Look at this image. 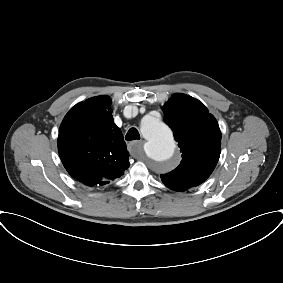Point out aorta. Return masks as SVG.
Returning <instances> with one entry per match:
<instances>
[{
	"mask_svg": "<svg viewBox=\"0 0 283 283\" xmlns=\"http://www.w3.org/2000/svg\"><path fill=\"white\" fill-rule=\"evenodd\" d=\"M142 134L145 138L144 152L160 170L169 168V161L175 150V141L168 126L159 120L142 124Z\"/></svg>",
	"mask_w": 283,
	"mask_h": 283,
	"instance_id": "762f6f07",
	"label": "aorta"
}]
</instances>
